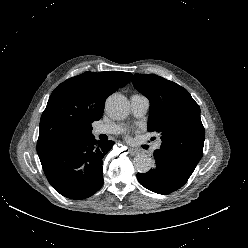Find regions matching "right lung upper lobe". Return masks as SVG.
<instances>
[{
  "label": "right lung upper lobe",
  "instance_id": "1",
  "mask_svg": "<svg viewBox=\"0 0 248 248\" xmlns=\"http://www.w3.org/2000/svg\"><path fill=\"white\" fill-rule=\"evenodd\" d=\"M131 73L85 72L61 83L51 94L41 116L37 153L40 156L68 137L92 133L102 118L106 98L130 82Z\"/></svg>",
  "mask_w": 248,
  "mask_h": 248
}]
</instances>
